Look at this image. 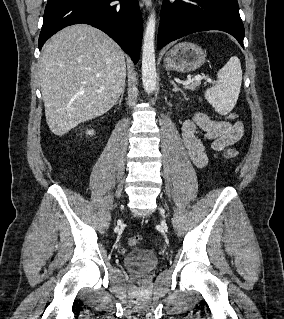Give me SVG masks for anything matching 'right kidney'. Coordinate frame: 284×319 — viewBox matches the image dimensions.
<instances>
[{
	"label": "right kidney",
	"instance_id": "right-kidney-1",
	"mask_svg": "<svg viewBox=\"0 0 284 319\" xmlns=\"http://www.w3.org/2000/svg\"><path fill=\"white\" fill-rule=\"evenodd\" d=\"M87 134L92 135L93 131H88Z\"/></svg>",
	"mask_w": 284,
	"mask_h": 319
}]
</instances>
